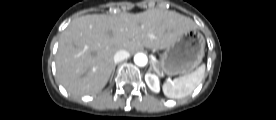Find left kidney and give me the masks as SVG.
Segmentation results:
<instances>
[{
    "label": "left kidney",
    "instance_id": "1",
    "mask_svg": "<svg viewBox=\"0 0 276 120\" xmlns=\"http://www.w3.org/2000/svg\"><path fill=\"white\" fill-rule=\"evenodd\" d=\"M145 81L148 87L154 91L159 92L160 90V84L158 77L155 74H151L150 72L145 75Z\"/></svg>",
    "mask_w": 276,
    "mask_h": 120
}]
</instances>
